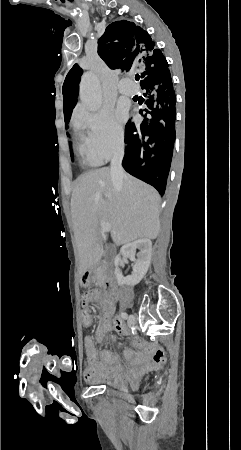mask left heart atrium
I'll list each match as a JSON object with an SVG mask.
<instances>
[{"label": "left heart atrium", "mask_w": 241, "mask_h": 450, "mask_svg": "<svg viewBox=\"0 0 241 450\" xmlns=\"http://www.w3.org/2000/svg\"><path fill=\"white\" fill-rule=\"evenodd\" d=\"M117 117L119 120L123 121L126 118V112L123 109H118Z\"/></svg>", "instance_id": "39dd6f15"}]
</instances>
